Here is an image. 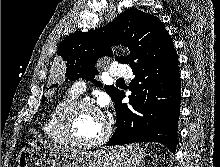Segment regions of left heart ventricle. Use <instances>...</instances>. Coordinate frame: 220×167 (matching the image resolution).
<instances>
[{"instance_id": "b2bd125f", "label": "left heart ventricle", "mask_w": 220, "mask_h": 167, "mask_svg": "<svg viewBox=\"0 0 220 167\" xmlns=\"http://www.w3.org/2000/svg\"><path fill=\"white\" fill-rule=\"evenodd\" d=\"M105 129L102 114L88 108L79 109L71 122V132L75 138L91 141L99 138Z\"/></svg>"}]
</instances>
